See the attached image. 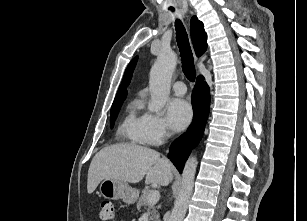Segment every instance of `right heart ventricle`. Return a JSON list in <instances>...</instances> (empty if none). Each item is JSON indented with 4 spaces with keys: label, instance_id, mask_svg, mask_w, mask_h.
<instances>
[{
    "label": "right heart ventricle",
    "instance_id": "e07e8e85",
    "mask_svg": "<svg viewBox=\"0 0 307 221\" xmlns=\"http://www.w3.org/2000/svg\"><path fill=\"white\" fill-rule=\"evenodd\" d=\"M141 102L134 100L129 104L128 112L118 128L119 136L133 144L145 145L148 140L145 133L144 116L139 113Z\"/></svg>",
    "mask_w": 307,
    "mask_h": 221
}]
</instances>
